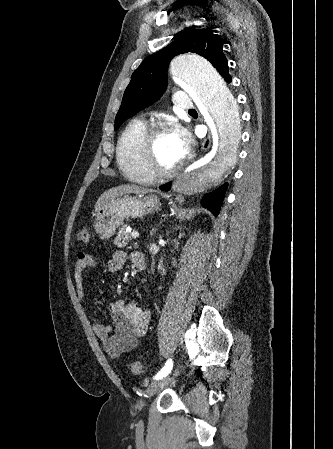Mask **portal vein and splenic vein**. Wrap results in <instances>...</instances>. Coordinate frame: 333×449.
<instances>
[{
  "label": "portal vein and splenic vein",
  "instance_id": "18ae733b",
  "mask_svg": "<svg viewBox=\"0 0 333 449\" xmlns=\"http://www.w3.org/2000/svg\"><path fill=\"white\" fill-rule=\"evenodd\" d=\"M131 236H132V238L136 239V238L139 237V233H138L137 231H133V232L131 233Z\"/></svg>",
  "mask_w": 333,
  "mask_h": 449
}]
</instances>
